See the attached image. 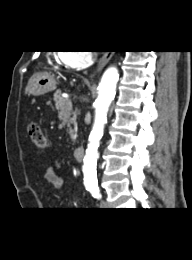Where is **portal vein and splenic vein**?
Here are the masks:
<instances>
[{
    "label": "portal vein and splenic vein",
    "instance_id": "18ae733b",
    "mask_svg": "<svg viewBox=\"0 0 192 260\" xmlns=\"http://www.w3.org/2000/svg\"><path fill=\"white\" fill-rule=\"evenodd\" d=\"M66 106H67L68 109H71V108H72V102H71L70 99L67 100Z\"/></svg>",
    "mask_w": 192,
    "mask_h": 260
}]
</instances>
